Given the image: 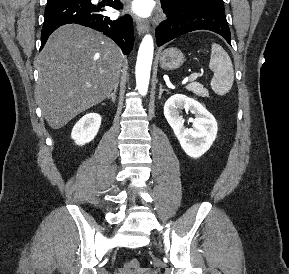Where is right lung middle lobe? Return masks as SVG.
Masks as SVG:
<instances>
[{
    "label": "right lung middle lobe",
    "instance_id": "dd1d6c3e",
    "mask_svg": "<svg viewBox=\"0 0 289 274\" xmlns=\"http://www.w3.org/2000/svg\"><path fill=\"white\" fill-rule=\"evenodd\" d=\"M56 1H60V0H48V3H50V2H56Z\"/></svg>",
    "mask_w": 289,
    "mask_h": 274
}]
</instances>
